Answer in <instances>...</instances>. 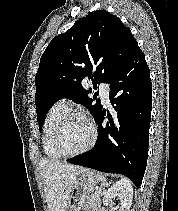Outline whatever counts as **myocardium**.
I'll list each match as a JSON object with an SVG mask.
<instances>
[{
    "instance_id": "myocardium-1",
    "label": "myocardium",
    "mask_w": 178,
    "mask_h": 211,
    "mask_svg": "<svg viewBox=\"0 0 178 211\" xmlns=\"http://www.w3.org/2000/svg\"><path fill=\"white\" fill-rule=\"evenodd\" d=\"M74 117L82 118L89 124L90 140H89L88 144L81 150L74 152V153H66L61 150L60 138H61L62 132L65 129L66 125ZM96 139H97V126H96V123L94 122V120L84 112H81L78 110H69L62 118V120L56 130L55 138H54V145H55L56 151L58 152V154L61 157L71 158V157L79 156V155L84 154L87 151H89L94 146Z\"/></svg>"
}]
</instances>
